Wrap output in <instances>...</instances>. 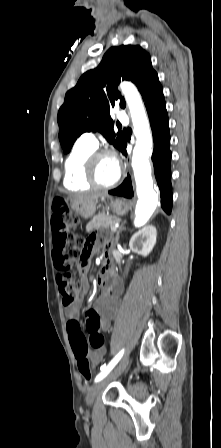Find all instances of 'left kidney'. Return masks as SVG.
I'll list each match as a JSON object with an SVG mask.
<instances>
[{
	"label": "left kidney",
	"mask_w": 221,
	"mask_h": 448,
	"mask_svg": "<svg viewBox=\"0 0 221 448\" xmlns=\"http://www.w3.org/2000/svg\"><path fill=\"white\" fill-rule=\"evenodd\" d=\"M157 230L150 225L135 233L129 242L130 249L144 257L148 256L156 244Z\"/></svg>",
	"instance_id": "left-kidney-1"
}]
</instances>
